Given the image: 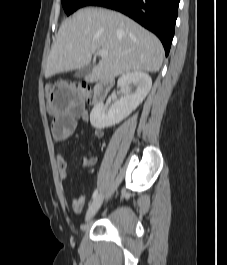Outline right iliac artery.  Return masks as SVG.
I'll return each mask as SVG.
<instances>
[{"instance_id":"1","label":"right iliac artery","mask_w":227,"mask_h":265,"mask_svg":"<svg viewBox=\"0 0 227 265\" xmlns=\"http://www.w3.org/2000/svg\"><path fill=\"white\" fill-rule=\"evenodd\" d=\"M98 195V189L93 192L92 199L94 200Z\"/></svg>"}]
</instances>
